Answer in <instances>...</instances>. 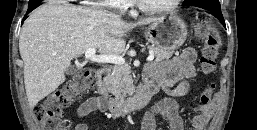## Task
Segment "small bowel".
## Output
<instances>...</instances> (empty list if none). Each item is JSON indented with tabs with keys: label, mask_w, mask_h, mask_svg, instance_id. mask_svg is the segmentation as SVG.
<instances>
[{
	"label": "small bowel",
	"mask_w": 257,
	"mask_h": 130,
	"mask_svg": "<svg viewBox=\"0 0 257 130\" xmlns=\"http://www.w3.org/2000/svg\"><path fill=\"white\" fill-rule=\"evenodd\" d=\"M196 52L186 49L182 54L170 60H165L149 66L145 71V80L153 79L163 91L169 95L156 103L145 115L142 130H158L156 119L163 116L167 119L170 130H184V122L179 112V106L174 97L187 93L189 80L195 76ZM105 106L99 96L85 100L77 109V117L84 118L93 111H104ZM195 116L190 124L192 130H204L214 111L213 105H199L194 108ZM75 130H88L84 124H78Z\"/></svg>",
	"instance_id": "1"
}]
</instances>
